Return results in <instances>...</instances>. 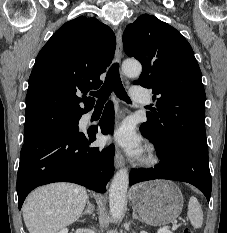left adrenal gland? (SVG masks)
Masks as SVG:
<instances>
[{
	"label": "left adrenal gland",
	"mask_w": 227,
	"mask_h": 233,
	"mask_svg": "<svg viewBox=\"0 0 227 233\" xmlns=\"http://www.w3.org/2000/svg\"><path fill=\"white\" fill-rule=\"evenodd\" d=\"M132 217H133V219H137V220L141 221V219L137 216L135 209H133Z\"/></svg>",
	"instance_id": "1"
}]
</instances>
